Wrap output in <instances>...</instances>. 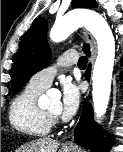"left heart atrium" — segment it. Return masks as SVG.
<instances>
[{"label":"left heart atrium","mask_w":123,"mask_h":152,"mask_svg":"<svg viewBox=\"0 0 123 152\" xmlns=\"http://www.w3.org/2000/svg\"><path fill=\"white\" fill-rule=\"evenodd\" d=\"M80 103V92L78 87L70 81H66L62 88V100L60 102L59 114L64 120L72 118Z\"/></svg>","instance_id":"39dd6f15"}]
</instances>
